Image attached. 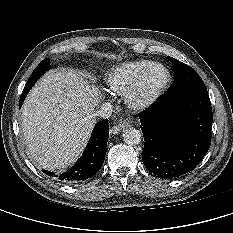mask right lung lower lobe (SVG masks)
<instances>
[{
  "instance_id": "1",
  "label": "right lung lower lobe",
  "mask_w": 233,
  "mask_h": 233,
  "mask_svg": "<svg viewBox=\"0 0 233 233\" xmlns=\"http://www.w3.org/2000/svg\"><path fill=\"white\" fill-rule=\"evenodd\" d=\"M31 88L32 86H28L27 84L24 87L19 107H21ZM108 137L109 126L108 120L106 119L95 125L92 136L83 155L72 168L61 174H55L49 171L43 172L62 183H74L94 176L100 170L104 162Z\"/></svg>"
}]
</instances>
